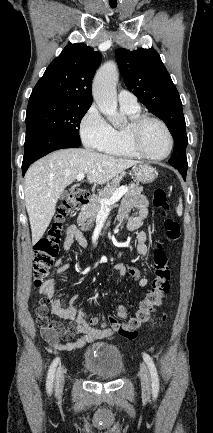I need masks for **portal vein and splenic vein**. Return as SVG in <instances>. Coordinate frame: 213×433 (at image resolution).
Returning a JSON list of instances; mask_svg holds the SVG:
<instances>
[{
  "mask_svg": "<svg viewBox=\"0 0 213 433\" xmlns=\"http://www.w3.org/2000/svg\"><path fill=\"white\" fill-rule=\"evenodd\" d=\"M85 175L83 173L78 174L76 179L77 181H82L84 179ZM128 191V188L126 186H122L118 188L112 195L110 199H101V207L102 208H108L109 206L116 203L126 192Z\"/></svg>",
  "mask_w": 213,
  "mask_h": 433,
  "instance_id": "1",
  "label": "portal vein and splenic vein"
}]
</instances>
